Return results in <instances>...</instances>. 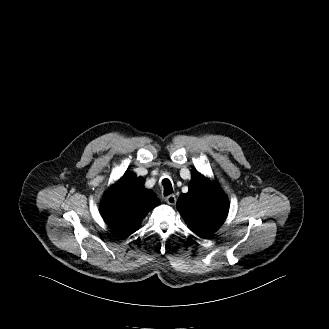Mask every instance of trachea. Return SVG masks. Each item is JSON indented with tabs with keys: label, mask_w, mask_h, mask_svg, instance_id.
<instances>
[{
	"label": "trachea",
	"mask_w": 329,
	"mask_h": 329,
	"mask_svg": "<svg viewBox=\"0 0 329 329\" xmlns=\"http://www.w3.org/2000/svg\"><path fill=\"white\" fill-rule=\"evenodd\" d=\"M162 185H163V188H164V195L165 196L170 195L173 191L172 184H171L170 180L167 179V178L163 179Z\"/></svg>",
	"instance_id": "trachea-1"
}]
</instances>
